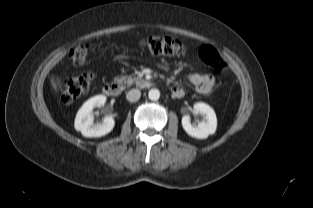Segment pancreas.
I'll return each instance as SVG.
<instances>
[{"instance_id": "obj_1", "label": "pancreas", "mask_w": 313, "mask_h": 208, "mask_svg": "<svg viewBox=\"0 0 313 208\" xmlns=\"http://www.w3.org/2000/svg\"><path fill=\"white\" fill-rule=\"evenodd\" d=\"M116 81L120 84L133 85L134 83H139L140 79L138 77L132 78L131 76H120L116 78Z\"/></svg>"}]
</instances>
